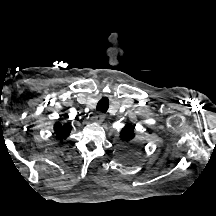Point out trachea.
<instances>
[{"mask_svg": "<svg viewBox=\"0 0 216 216\" xmlns=\"http://www.w3.org/2000/svg\"><path fill=\"white\" fill-rule=\"evenodd\" d=\"M109 108V100L106 97H103L100 99V101L97 103L96 111H100L102 113H105Z\"/></svg>", "mask_w": 216, "mask_h": 216, "instance_id": "1", "label": "trachea"}]
</instances>
